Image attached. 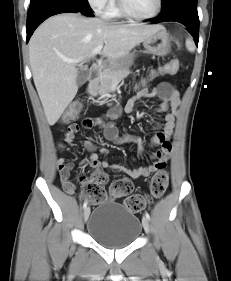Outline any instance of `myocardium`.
Listing matches in <instances>:
<instances>
[{
  "label": "myocardium",
  "instance_id": "1",
  "mask_svg": "<svg viewBox=\"0 0 231 281\" xmlns=\"http://www.w3.org/2000/svg\"><path fill=\"white\" fill-rule=\"evenodd\" d=\"M117 5H118L120 14L123 15L124 17L133 19L136 21H148V20H152V19L156 18L160 14L162 7H163V0H157L156 9L153 11V13H151L150 15H147V16H140V15H136L133 12H131L127 8L124 0H117Z\"/></svg>",
  "mask_w": 231,
  "mask_h": 281
}]
</instances>
